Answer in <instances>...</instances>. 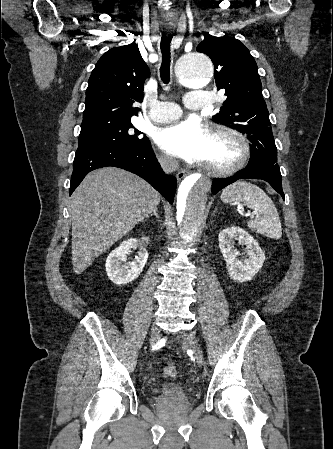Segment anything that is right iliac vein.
<instances>
[{
    "label": "right iliac vein",
    "mask_w": 333,
    "mask_h": 449,
    "mask_svg": "<svg viewBox=\"0 0 333 449\" xmlns=\"http://www.w3.org/2000/svg\"><path fill=\"white\" fill-rule=\"evenodd\" d=\"M159 339H160V332L158 328L153 327L151 330L150 344L156 343Z\"/></svg>",
    "instance_id": "obj_1"
}]
</instances>
